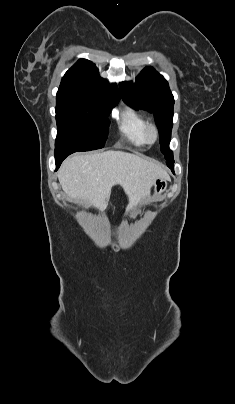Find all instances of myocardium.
<instances>
[{
  "label": "myocardium",
  "instance_id": "myocardium-1",
  "mask_svg": "<svg viewBox=\"0 0 235 404\" xmlns=\"http://www.w3.org/2000/svg\"><path fill=\"white\" fill-rule=\"evenodd\" d=\"M159 132L155 124L148 123L144 130V141L148 145H153L158 141Z\"/></svg>",
  "mask_w": 235,
  "mask_h": 404
}]
</instances>
